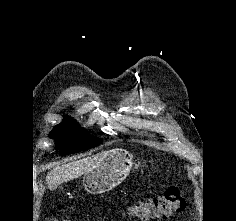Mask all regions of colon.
<instances>
[{"mask_svg":"<svg viewBox=\"0 0 236 221\" xmlns=\"http://www.w3.org/2000/svg\"><path fill=\"white\" fill-rule=\"evenodd\" d=\"M187 197L181 187L171 186L163 195L140 200L133 204L129 215L139 221L152 218H165L186 206ZM51 221H72L70 219H52Z\"/></svg>","mask_w":236,"mask_h":221,"instance_id":"obj_1","label":"colon"}]
</instances>
